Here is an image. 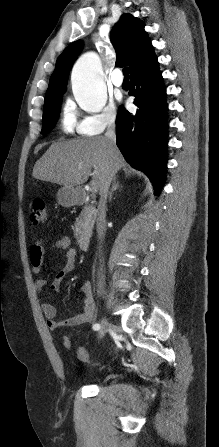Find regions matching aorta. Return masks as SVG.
I'll return each instance as SVG.
<instances>
[{
	"label": "aorta",
	"mask_w": 219,
	"mask_h": 447,
	"mask_svg": "<svg viewBox=\"0 0 219 447\" xmlns=\"http://www.w3.org/2000/svg\"><path fill=\"white\" fill-rule=\"evenodd\" d=\"M72 89L78 105L87 112L102 111L107 102L99 56L94 52L82 55L71 74Z\"/></svg>",
	"instance_id": "762f6f07"
}]
</instances>
